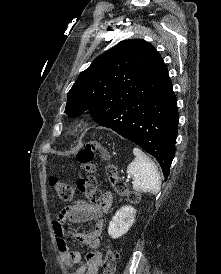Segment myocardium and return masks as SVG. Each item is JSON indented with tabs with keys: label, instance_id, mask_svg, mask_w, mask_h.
Wrapping results in <instances>:
<instances>
[{
	"label": "myocardium",
	"instance_id": "obj_1",
	"mask_svg": "<svg viewBox=\"0 0 221 274\" xmlns=\"http://www.w3.org/2000/svg\"><path fill=\"white\" fill-rule=\"evenodd\" d=\"M79 129V126L78 125H75L73 127H71L70 129V134H75Z\"/></svg>",
	"mask_w": 221,
	"mask_h": 274
}]
</instances>
